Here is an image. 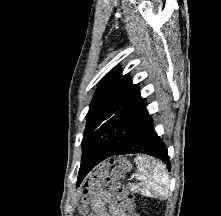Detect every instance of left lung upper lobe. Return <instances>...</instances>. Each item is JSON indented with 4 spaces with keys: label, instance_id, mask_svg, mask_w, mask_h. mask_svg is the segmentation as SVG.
<instances>
[{
    "label": "left lung upper lobe",
    "instance_id": "5c2ea615",
    "mask_svg": "<svg viewBox=\"0 0 221 216\" xmlns=\"http://www.w3.org/2000/svg\"><path fill=\"white\" fill-rule=\"evenodd\" d=\"M83 153L98 145L121 149L149 117L139 86L113 68L102 79L87 114ZM82 153V154H83Z\"/></svg>",
    "mask_w": 221,
    "mask_h": 216
}]
</instances>
